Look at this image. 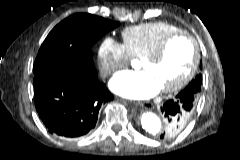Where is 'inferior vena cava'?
<instances>
[{
	"mask_svg": "<svg viewBox=\"0 0 240 160\" xmlns=\"http://www.w3.org/2000/svg\"><path fill=\"white\" fill-rule=\"evenodd\" d=\"M108 73H110V70H109V71H108V70H107V71H105V74H108Z\"/></svg>",
	"mask_w": 240,
	"mask_h": 160,
	"instance_id": "1",
	"label": "inferior vena cava"
}]
</instances>
